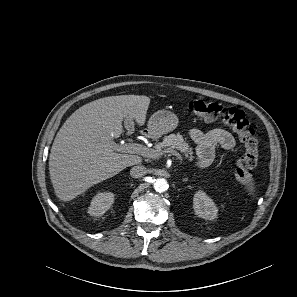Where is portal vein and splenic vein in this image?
<instances>
[{
    "instance_id": "1",
    "label": "portal vein and splenic vein",
    "mask_w": 297,
    "mask_h": 297,
    "mask_svg": "<svg viewBox=\"0 0 297 297\" xmlns=\"http://www.w3.org/2000/svg\"><path fill=\"white\" fill-rule=\"evenodd\" d=\"M115 149L118 152H125V153H131V154H139L145 157H150V158H157L159 157L153 149H149L146 146H143L141 144L137 143H128V144H123V145H116L115 144ZM172 156L177 157L178 159H181V155L177 152L172 153Z\"/></svg>"
}]
</instances>
